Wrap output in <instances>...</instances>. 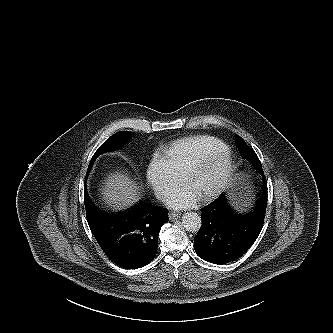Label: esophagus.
I'll return each mask as SVG.
<instances>
[{
  "label": "esophagus",
  "instance_id": "obj_1",
  "mask_svg": "<svg viewBox=\"0 0 333 333\" xmlns=\"http://www.w3.org/2000/svg\"><path fill=\"white\" fill-rule=\"evenodd\" d=\"M180 216H181V213H179V212H171L169 214V218L171 220H176V219L180 218Z\"/></svg>",
  "mask_w": 333,
  "mask_h": 333
}]
</instances>
